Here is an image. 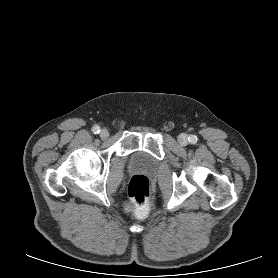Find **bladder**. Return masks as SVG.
<instances>
[{"label":"bladder","mask_w":278,"mask_h":278,"mask_svg":"<svg viewBox=\"0 0 278 278\" xmlns=\"http://www.w3.org/2000/svg\"><path fill=\"white\" fill-rule=\"evenodd\" d=\"M157 163L153 156L145 151H135L130 155L129 167L132 170L154 172Z\"/></svg>","instance_id":"1"}]
</instances>
